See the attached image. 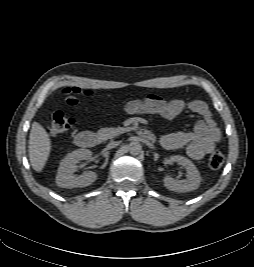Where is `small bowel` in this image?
Segmentation results:
<instances>
[{"mask_svg": "<svg viewBox=\"0 0 254 267\" xmlns=\"http://www.w3.org/2000/svg\"><path fill=\"white\" fill-rule=\"evenodd\" d=\"M185 109L198 116L193 130L165 134L160 138V143L168 150L185 147L190 158L200 160L214 150L221 137L206 103L200 100L186 103L180 99L168 100L161 96L148 95L124 106V110L130 114H156L168 120L175 119Z\"/></svg>", "mask_w": 254, "mask_h": 267, "instance_id": "1", "label": "small bowel"}]
</instances>
